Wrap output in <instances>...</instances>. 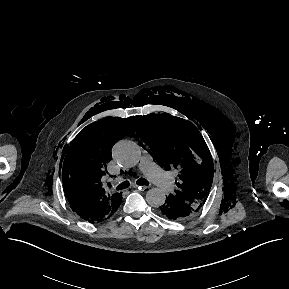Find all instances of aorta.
Returning <instances> with one entry per match:
<instances>
[{
  "label": "aorta",
  "mask_w": 289,
  "mask_h": 289,
  "mask_svg": "<svg viewBox=\"0 0 289 289\" xmlns=\"http://www.w3.org/2000/svg\"><path fill=\"white\" fill-rule=\"evenodd\" d=\"M112 155L119 165L129 168L139 162L141 151L135 142L120 140L114 145ZM165 200L166 195L162 189L151 188L146 193V201L152 207L158 208L162 206Z\"/></svg>",
  "instance_id": "1"
}]
</instances>
